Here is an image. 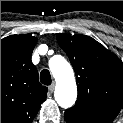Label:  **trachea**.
Wrapping results in <instances>:
<instances>
[{
	"instance_id": "1",
	"label": "trachea",
	"mask_w": 123,
	"mask_h": 123,
	"mask_svg": "<svg viewBox=\"0 0 123 123\" xmlns=\"http://www.w3.org/2000/svg\"><path fill=\"white\" fill-rule=\"evenodd\" d=\"M40 80H41V83L44 85H50L51 84V75L47 69H44L41 71Z\"/></svg>"
}]
</instances>
